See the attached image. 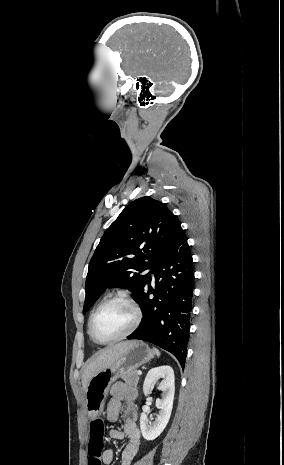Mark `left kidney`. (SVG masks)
<instances>
[{
	"instance_id": "left-kidney-1",
	"label": "left kidney",
	"mask_w": 284,
	"mask_h": 465,
	"mask_svg": "<svg viewBox=\"0 0 284 465\" xmlns=\"http://www.w3.org/2000/svg\"><path fill=\"white\" fill-rule=\"evenodd\" d=\"M159 379H163L162 385H160V391L162 393V399H157L156 407L160 409L158 415H155L156 419L153 421V415H146L147 411L141 413L140 417V429L142 437L146 441H154L161 433H163L172 413L175 385H174V371L172 367H156V369H150L146 375V379L143 385V393L145 397L151 395V385L157 383Z\"/></svg>"
}]
</instances>
